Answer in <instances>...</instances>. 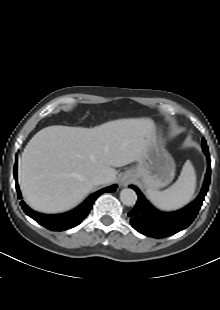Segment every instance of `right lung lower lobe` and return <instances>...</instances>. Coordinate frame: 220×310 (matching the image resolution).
<instances>
[{"mask_svg": "<svg viewBox=\"0 0 220 310\" xmlns=\"http://www.w3.org/2000/svg\"><path fill=\"white\" fill-rule=\"evenodd\" d=\"M16 170H17V156H16V164L14 166V177L16 179V189L18 198L21 199L22 196L16 178L17 175ZM116 188H117L116 185H112L104 189H101L96 193L92 194L91 196H89L76 209L64 214L45 215L33 211L25 204L24 201H21L20 204L24 212L32 219H34L36 222H38L40 225L46 227L51 231H63L79 225L82 222V220L89 214L96 198L100 196L102 193L113 192L116 190Z\"/></svg>", "mask_w": 220, "mask_h": 310, "instance_id": "obj_1", "label": "right lung lower lobe"}]
</instances>
